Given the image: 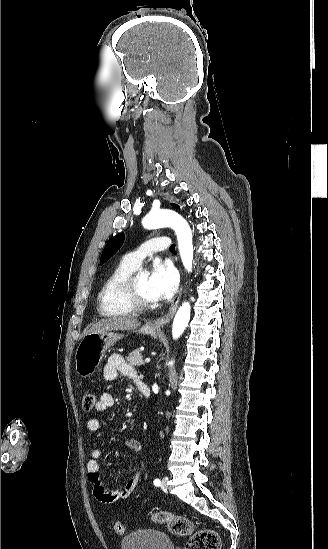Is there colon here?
<instances>
[{"label":"colon","instance_id":"5ec220e1","mask_svg":"<svg viewBox=\"0 0 328 549\" xmlns=\"http://www.w3.org/2000/svg\"><path fill=\"white\" fill-rule=\"evenodd\" d=\"M96 403L93 392L86 391L82 395V408L84 411H91ZM155 523L165 524L168 530L175 536H190L185 549H219L220 538L214 530L204 529L193 533V522L185 516L176 515L166 511H158L152 515ZM113 530L116 534L124 532L123 524L115 521Z\"/></svg>","mask_w":328,"mask_h":549}]
</instances>
